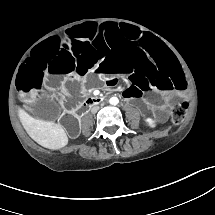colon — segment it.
Here are the masks:
<instances>
[{"instance_id": "1", "label": "colon", "mask_w": 215, "mask_h": 215, "mask_svg": "<svg viewBox=\"0 0 215 215\" xmlns=\"http://www.w3.org/2000/svg\"><path fill=\"white\" fill-rule=\"evenodd\" d=\"M189 104L188 102H183L181 104H178L174 107L172 111V122L175 125H179L183 122L187 110H188Z\"/></svg>"}]
</instances>
